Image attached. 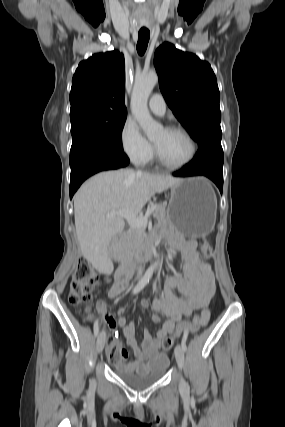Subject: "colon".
<instances>
[{
    "mask_svg": "<svg viewBox=\"0 0 285 427\" xmlns=\"http://www.w3.org/2000/svg\"><path fill=\"white\" fill-rule=\"evenodd\" d=\"M200 253L204 260H209L213 257V248L209 243H203L200 247ZM102 290V284L94 268L87 260H80L77 263L75 271L70 282L68 299L72 305L83 306V311L86 319L92 316V308L89 306L95 293ZM202 325V315H195L193 319L184 325L178 326L176 335L187 334L188 332H196ZM117 341L113 337L108 340V346L111 351L108 356L113 361H119L120 353L117 349ZM172 347V338L168 337L163 341V348L169 350Z\"/></svg>",
    "mask_w": 285,
    "mask_h": 427,
    "instance_id": "colon-1",
    "label": "colon"
}]
</instances>
